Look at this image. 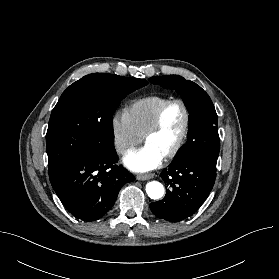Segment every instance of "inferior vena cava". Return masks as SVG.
<instances>
[{
  "mask_svg": "<svg viewBox=\"0 0 279 279\" xmlns=\"http://www.w3.org/2000/svg\"><path fill=\"white\" fill-rule=\"evenodd\" d=\"M127 148H128L127 145H125V144H119V145L117 146V151H118L119 153L123 154L124 152H126Z\"/></svg>",
  "mask_w": 279,
  "mask_h": 279,
  "instance_id": "602c4592",
  "label": "inferior vena cava"
}]
</instances>
